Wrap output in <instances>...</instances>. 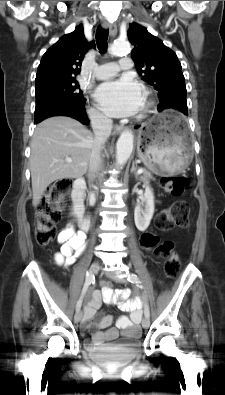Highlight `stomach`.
<instances>
[{
	"mask_svg": "<svg viewBox=\"0 0 225 395\" xmlns=\"http://www.w3.org/2000/svg\"><path fill=\"white\" fill-rule=\"evenodd\" d=\"M137 152L144 165L156 174L182 172L193 156L183 116L166 110L142 125Z\"/></svg>",
	"mask_w": 225,
	"mask_h": 395,
	"instance_id": "stomach-1",
	"label": "stomach"
}]
</instances>
